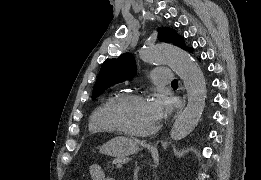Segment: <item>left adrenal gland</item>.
Wrapping results in <instances>:
<instances>
[{"label":"left adrenal gland","mask_w":261,"mask_h":180,"mask_svg":"<svg viewBox=\"0 0 261 180\" xmlns=\"http://www.w3.org/2000/svg\"><path fill=\"white\" fill-rule=\"evenodd\" d=\"M140 168L138 166V162H135V170H134V176H133V180H138V172H139Z\"/></svg>","instance_id":"1"}]
</instances>
